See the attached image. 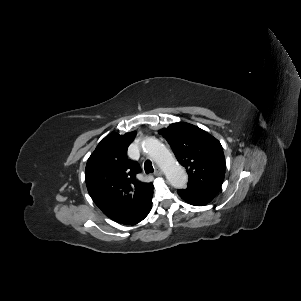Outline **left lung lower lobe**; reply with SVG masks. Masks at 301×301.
<instances>
[{"label": "left lung lower lobe", "mask_w": 301, "mask_h": 301, "mask_svg": "<svg viewBox=\"0 0 301 301\" xmlns=\"http://www.w3.org/2000/svg\"><path fill=\"white\" fill-rule=\"evenodd\" d=\"M179 196L191 205L204 206L211 202L217 193L187 187L183 190H178Z\"/></svg>", "instance_id": "1"}]
</instances>
